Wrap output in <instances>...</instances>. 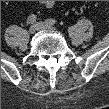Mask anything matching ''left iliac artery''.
Instances as JSON below:
<instances>
[{"instance_id":"left-iliac-artery-1","label":"left iliac artery","mask_w":109,"mask_h":109,"mask_svg":"<svg viewBox=\"0 0 109 109\" xmlns=\"http://www.w3.org/2000/svg\"><path fill=\"white\" fill-rule=\"evenodd\" d=\"M46 22L51 25H54L57 21L55 19H47Z\"/></svg>"}]
</instances>
